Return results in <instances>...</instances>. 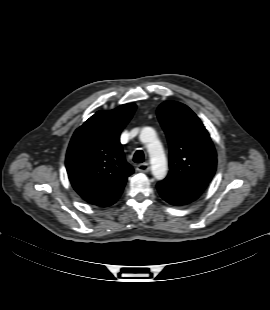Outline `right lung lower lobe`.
Wrapping results in <instances>:
<instances>
[{"label": "right lung lower lobe", "instance_id": "98d812e1", "mask_svg": "<svg viewBox=\"0 0 270 310\" xmlns=\"http://www.w3.org/2000/svg\"><path fill=\"white\" fill-rule=\"evenodd\" d=\"M122 191L118 194H116L115 196L109 198L108 200L104 201L102 204L98 205V206H101V207H106V206H110L112 205L113 203H115L117 201V199L120 197Z\"/></svg>", "mask_w": 270, "mask_h": 310}]
</instances>
